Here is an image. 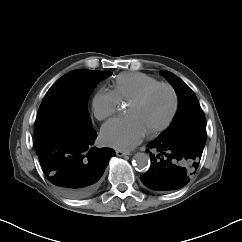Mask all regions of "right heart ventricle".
<instances>
[{"mask_svg":"<svg viewBox=\"0 0 242 242\" xmlns=\"http://www.w3.org/2000/svg\"><path fill=\"white\" fill-rule=\"evenodd\" d=\"M159 83L155 77L141 72H125L113 81V91L120 101H130L146 88Z\"/></svg>","mask_w":242,"mask_h":242,"instance_id":"right-heart-ventricle-1","label":"right heart ventricle"}]
</instances>
